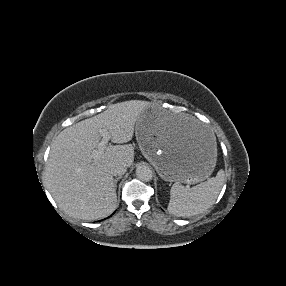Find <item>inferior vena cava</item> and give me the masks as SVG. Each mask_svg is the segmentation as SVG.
<instances>
[{"label":"inferior vena cava","mask_w":286,"mask_h":286,"mask_svg":"<svg viewBox=\"0 0 286 286\" xmlns=\"http://www.w3.org/2000/svg\"><path fill=\"white\" fill-rule=\"evenodd\" d=\"M110 170L113 176H121L126 172L127 166L122 162H117L111 165Z\"/></svg>","instance_id":"inferior-vena-cava-1"}]
</instances>
